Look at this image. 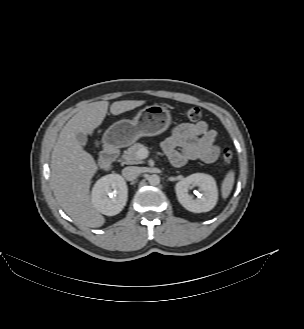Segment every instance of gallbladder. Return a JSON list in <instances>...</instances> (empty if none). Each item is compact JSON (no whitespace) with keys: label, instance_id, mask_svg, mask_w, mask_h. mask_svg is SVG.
<instances>
[{"label":"gallbladder","instance_id":"gallbladder-1","mask_svg":"<svg viewBox=\"0 0 304 329\" xmlns=\"http://www.w3.org/2000/svg\"><path fill=\"white\" fill-rule=\"evenodd\" d=\"M76 139L80 143V145L85 146L87 143V135L83 132H79L76 134Z\"/></svg>","mask_w":304,"mask_h":329}]
</instances>
